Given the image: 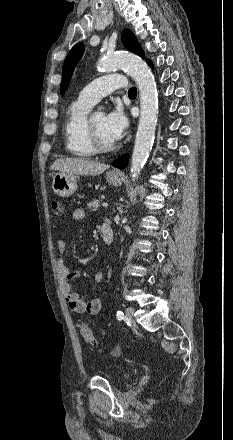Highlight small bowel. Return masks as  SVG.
<instances>
[{"label":"small bowel","mask_w":233,"mask_h":440,"mask_svg":"<svg viewBox=\"0 0 233 440\" xmlns=\"http://www.w3.org/2000/svg\"><path fill=\"white\" fill-rule=\"evenodd\" d=\"M85 217V212L83 209H75L71 212L70 218L74 221L82 220ZM66 250V243L63 240L57 241V251L59 253V257L56 262V268L58 272V276L61 281L62 291L65 297V300L73 313L76 314H88V315H97L100 313L102 308V301L98 298L84 301L79 297V294L74 290L72 285L70 284L71 279L80 275L79 272H72L67 268L62 258V254ZM103 278L102 272H97L95 274L96 281H100Z\"/></svg>","instance_id":"c3829d8e"}]
</instances>
